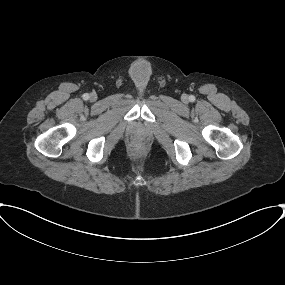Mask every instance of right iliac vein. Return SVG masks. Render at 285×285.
Segmentation results:
<instances>
[{
	"label": "right iliac vein",
	"instance_id": "right-iliac-vein-1",
	"mask_svg": "<svg viewBox=\"0 0 285 285\" xmlns=\"http://www.w3.org/2000/svg\"><path fill=\"white\" fill-rule=\"evenodd\" d=\"M96 98H97V97H96V95H95V94H91V96H90V99H91V100H93V101H94V100H96Z\"/></svg>",
	"mask_w": 285,
	"mask_h": 285
}]
</instances>
